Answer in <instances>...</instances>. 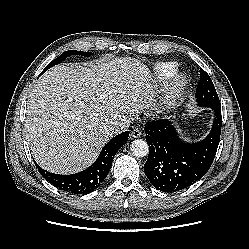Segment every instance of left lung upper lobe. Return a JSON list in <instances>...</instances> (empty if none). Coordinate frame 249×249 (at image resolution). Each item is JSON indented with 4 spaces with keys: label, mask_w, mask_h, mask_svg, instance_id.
<instances>
[{
    "label": "left lung upper lobe",
    "mask_w": 249,
    "mask_h": 249,
    "mask_svg": "<svg viewBox=\"0 0 249 249\" xmlns=\"http://www.w3.org/2000/svg\"><path fill=\"white\" fill-rule=\"evenodd\" d=\"M198 105L207 107L220 106L219 97L209 75L200 68V80L196 89Z\"/></svg>",
    "instance_id": "obj_1"
}]
</instances>
